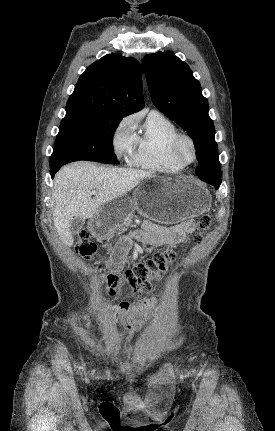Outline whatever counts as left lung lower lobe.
Returning a JSON list of instances; mask_svg holds the SVG:
<instances>
[{"label":"left lung lower lobe","instance_id":"left-lung-lower-lobe-1","mask_svg":"<svg viewBox=\"0 0 275 431\" xmlns=\"http://www.w3.org/2000/svg\"><path fill=\"white\" fill-rule=\"evenodd\" d=\"M198 177L201 179V180H203V181H205V182H207V183H209V184H211V185H213L216 189H218L219 188V186H220V184H221V180H217L216 178H215V175H214V173H212V172H207V173H205L204 175H198Z\"/></svg>","mask_w":275,"mask_h":431}]
</instances>
